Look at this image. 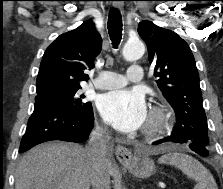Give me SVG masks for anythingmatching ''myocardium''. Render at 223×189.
Listing matches in <instances>:
<instances>
[{"label":"myocardium","mask_w":223,"mask_h":189,"mask_svg":"<svg viewBox=\"0 0 223 189\" xmlns=\"http://www.w3.org/2000/svg\"><path fill=\"white\" fill-rule=\"evenodd\" d=\"M172 123L173 116L167 106L161 104L153 105L150 108L149 117L143 133L148 137L156 136L169 129Z\"/></svg>","instance_id":"obj_1"}]
</instances>
